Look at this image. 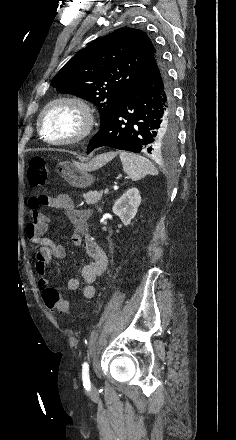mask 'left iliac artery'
I'll use <instances>...</instances> for the list:
<instances>
[{"label": "left iliac artery", "mask_w": 236, "mask_h": 440, "mask_svg": "<svg viewBox=\"0 0 236 440\" xmlns=\"http://www.w3.org/2000/svg\"><path fill=\"white\" fill-rule=\"evenodd\" d=\"M82 381L84 388L89 390L91 388L90 377H89V365L85 362L82 366Z\"/></svg>", "instance_id": "obj_1"}]
</instances>
